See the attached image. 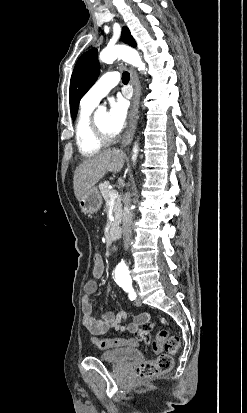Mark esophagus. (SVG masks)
<instances>
[{"label": "esophagus", "mask_w": 247, "mask_h": 413, "mask_svg": "<svg viewBox=\"0 0 247 413\" xmlns=\"http://www.w3.org/2000/svg\"><path fill=\"white\" fill-rule=\"evenodd\" d=\"M131 75V84L133 87V95L131 98V107L129 112V121L125 133L123 135V139L121 142V146L124 147L131 143L132 138L134 136V132L137 125V120L139 118L138 108H139V101H140V92H141V85L137 75V72L134 68L130 70Z\"/></svg>", "instance_id": "obj_1"}]
</instances>
